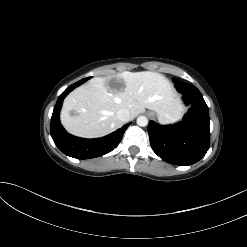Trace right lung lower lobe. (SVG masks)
I'll return each mask as SVG.
<instances>
[{
	"label": "right lung lower lobe",
	"mask_w": 247,
	"mask_h": 247,
	"mask_svg": "<svg viewBox=\"0 0 247 247\" xmlns=\"http://www.w3.org/2000/svg\"><path fill=\"white\" fill-rule=\"evenodd\" d=\"M87 80L82 79L69 86L58 98L51 117L50 134L55 145L66 155L77 159H90L112 151L122 139L129 124L102 138L82 139L68 134L59 121V110L65 96Z\"/></svg>",
	"instance_id": "98d812e1"
}]
</instances>
